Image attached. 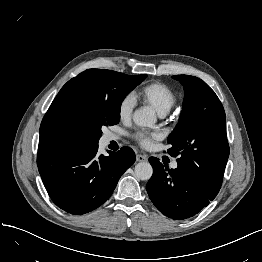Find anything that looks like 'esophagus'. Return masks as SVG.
Instances as JSON below:
<instances>
[{
  "label": "esophagus",
  "instance_id": "esophagus-1",
  "mask_svg": "<svg viewBox=\"0 0 262 262\" xmlns=\"http://www.w3.org/2000/svg\"><path fill=\"white\" fill-rule=\"evenodd\" d=\"M147 160H148V158H147L146 155H141V154L136 155V161L137 162H145Z\"/></svg>",
  "mask_w": 262,
  "mask_h": 262
}]
</instances>
